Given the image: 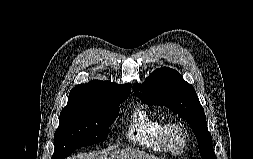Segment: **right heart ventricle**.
Here are the masks:
<instances>
[{
	"mask_svg": "<svg viewBox=\"0 0 253 159\" xmlns=\"http://www.w3.org/2000/svg\"><path fill=\"white\" fill-rule=\"evenodd\" d=\"M165 123L163 117L149 113L144 108H136L128 120L125 137L133 144L151 151H163L161 134Z\"/></svg>",
	"mask_w": 253,
	"mask_h": 159,
	"instance_id": "e07e8e85",
	"label": "right heart ventricle"
}]
</instances>
